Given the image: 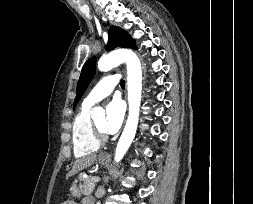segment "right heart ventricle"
<instances>
[{
  "label": "right heart ventricle",
  "instance_id": "e07e8e85",
  "mask_svg": "<svg viewBox=\"0 0 253 204\" xmlns=\"http://www.w3.org/2000/svg\"><path fill=\"white\" fill-rule=\"evenodd\" d=\"M90 108L91 106L83 103L73 122L72 142L76 157L93 154L100 147V143L93 134Z\"/></svg>",
  "mask_w": 253,
  "mask_h": 204
}]
</instances>
